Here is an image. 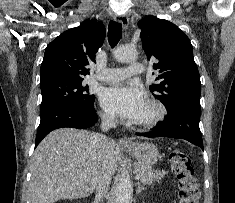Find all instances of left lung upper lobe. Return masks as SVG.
Wrapping results in <instances>:
<instances>
[{
  "label": "left lung upper lobe",
  "mask_w": 235,
  "mask_h": 203,
  "mask_svg": "<svg viewBox=\"0 0 235 203\" xmlns=\"http://www.w3.org/2000/svg\"><path fill=\"white\" fill-rule=\"evenodd\" d=\"M143 49L159 75L150 86L168 113L184 105L200 106L201 82L189 38L173 23L146 16L138 23Z\"/></svg>",
  "instance_id": "obj_1"
}]
</instances>
